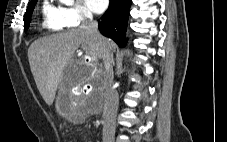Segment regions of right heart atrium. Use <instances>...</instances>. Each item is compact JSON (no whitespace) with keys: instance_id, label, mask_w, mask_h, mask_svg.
Segmentation results:
<instances>
[{"instance_id":"obj_1","label":"right heart atrium","mask_w":227,"mask_h":142,"mask_svg":"<svg viewBox=\"0 0 227 142\" xmlns=\"http://www.w3.org/2000/svg\"><path fill=\"white\" fill-rule=\"evenodd\" d=\"M62 14L69 27H79L92 21V13L83 5L77 3L73 6L62 7Z\"/></svg>"}]
</instances>
